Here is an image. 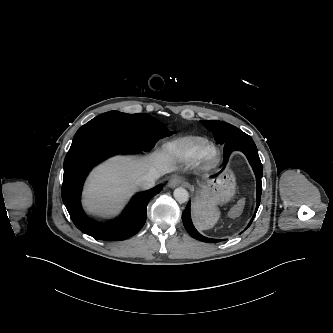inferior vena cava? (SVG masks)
<instances>
[{
    "mask_svg": "<svg viewBox=\"0 0 333 333\" xmlns=\"http://www.w3.org/2000/svg\"><path fill=\"white\" fill-rule=\"evenodd\" d=\"M158 178L157 174H146L136 180V185L142 189H150L155 185V180Z\"/></svg>",
    "mask_w": 333,
    "mask_h": 333,
    "instance_id": "obj_1",
    "label": "inferior vena cava"
}]
</instances>
